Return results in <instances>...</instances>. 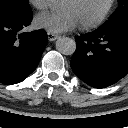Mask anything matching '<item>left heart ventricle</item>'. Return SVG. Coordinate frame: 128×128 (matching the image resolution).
I'll list each match as a JSON object with an SVG mask.
<instances>
[{
	"mask_svg": "<svg viewBox=\"0 0 128 128\" xmlns=\"http://www.w3.org/2000/svg\"><path fill=\"white\" fill-rule=\"evenodd\" d=\"M109 0H65L62 9L71 11L79 24H87L97 19Z\"/></svg>",
	"mask_w": 128,
	"mask_h": 128,
	"instance_id": "obj_1",
	"label": "left heart ventricle"
}]
</instances>
